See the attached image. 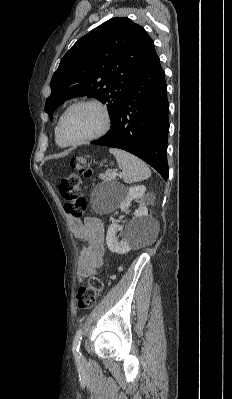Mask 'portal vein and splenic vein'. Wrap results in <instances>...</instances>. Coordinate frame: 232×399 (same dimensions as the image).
I'll return each instance as SVG.
<instances>
[{
  "mask_svg": "<svg viewBox=\"0 0 232 399\" xmlns=\"http://www.w3.org/2000/svg\"><path fill=\"white\" fill-rule=\"evenodd\" d=\"M115 176H116V172H113V178H115Z\"/></svg>",
  "mask_w": 232,
  "mask_h": 399,
  "instance_id": "obj_1",
  "label": "portal vein and splenic vein"
}]
</instances>
